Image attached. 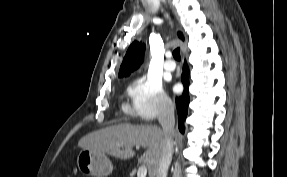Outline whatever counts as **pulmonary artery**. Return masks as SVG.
<instances>
[{"label":"pulmonary artery","instance_id":"pulmonary-artery-1","mask_svg":"<svg viewBox=\"0 0 287 177\" xmlns=\"http://www.w3.org/2000/svg\"><path fill=\"white\" fill-rule=\"evenodd\" d=\"M166 56V61L164 63V68L165 70L172 72L175 69V63L172 60V53L171 52H166L165 53Z\"/></svg>","mask_w":287,"mask_h":177}]
</instances>
